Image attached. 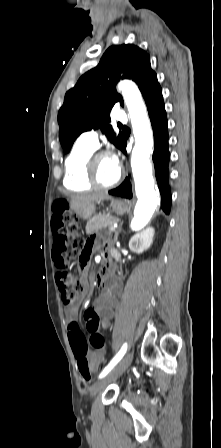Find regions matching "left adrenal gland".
<instances>
[{
    "label": "left adrenal gland",
    "mask_w": 221,
    "mask_h": 448,
    "mask_svg": "<svg viewBox=\"0 0 221 448\" xmlns=\"http://www.w3.org/2000/svg\"><path fill=\"white\" fill-rule=\"evenodd\" d=\"M120 229H121V227H119L118 231H116V233H115V239H116V240H117V238H118V234H119Z\"/></svg>",
    "instance_id": "1"
}]
</instances>
